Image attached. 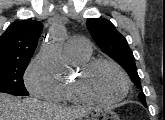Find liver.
Wrapping results in <instances>:
<instances>
[{
    "label": "liver",
    "instance_id": "1",
    "mask_svg": "<svg viewBox=\"0 0 165 120\" xmlns=\"http://www.w3.org/2000/svg\"><path fill=\"white\" fill-rule=\"evenodd\" d=\"M91 110V107L64 108L35 98L21 100L0 93V120H80Z\"/></svg>",
    "mask_w": 165,
    "mask_h": 120
}]
</instances>
